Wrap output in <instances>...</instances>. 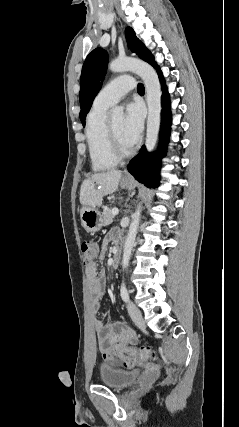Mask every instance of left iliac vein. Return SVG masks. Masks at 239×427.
<instances>
[{
  "mask_svg": "<svg viewBox=\"0 0 239 427\" xmlns=\"http://www.w3.org/2000/svg\"><path fill=\"white\" fill-rule=\"evenodd\" d=\"M127 309L129 312V315L133 322L139 327L144 328L145 327V321L142 316L141 310L131 301L127 304Z\"/></svg>",
  "mask_w": 239,
  "mask_h": 427,
  "instance_id": "1",
  "label": "left iliac vein"
}]
</instances>
